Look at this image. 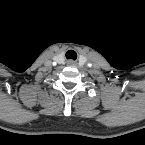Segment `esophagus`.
<instances>
[{"label": "esophagus", "mask_w": 145, "mask_h": 145, "mask_svg": "<svg viewBox=\"0 0 145 145\" xmlns=\"http://www.w3.org/2000/svg\"><path fill=\"white\" fill-rule=\"evenodd\" d=\"M67 65H68V66H71V67H74V66L77 65V63H76L74 60H68V61H67Z\"/></svg>", "instance_id": "34e87169"}]
</instances>
